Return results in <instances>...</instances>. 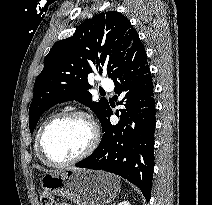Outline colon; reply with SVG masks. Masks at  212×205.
Here are the masks:
<instances>
[{
	"instance_id": "obj_1",
	"label": "colon",
	"mask_w": 212,
	"mask_h": 205,
	"mask_svg": "<svg viewBox=\"0 0 212 205\" xmlns=\"http://www.w3.org/2000/svg\"><path fill=\"white\" fill-rule=\"evenodd\" d=\"M41 205H53L54 199L50 192L43 191L40 196Z\"/></svg>"
}]
</instances>
